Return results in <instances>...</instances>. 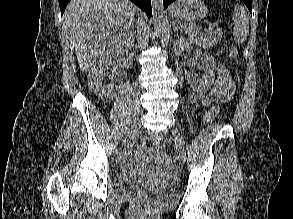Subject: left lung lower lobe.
Here are the masks:
<instances>
[{"instance_id":"left-lung-lower-lobe-1","label":"left lung lower lobe","mask_w":293,"mask_h":219,"mask_svg":"<svg viewBox=\"0 0 293 219\" xmlns=\"http://www.w3.org/2000/svg\"><path fill=\"white\" fill-rule=\"evenodd\" d=\"M175 0H163L164 8H167L169 4H171ZM248 7L249 11L252 14V0H242Z\"/></svg>"}]
</instances>
